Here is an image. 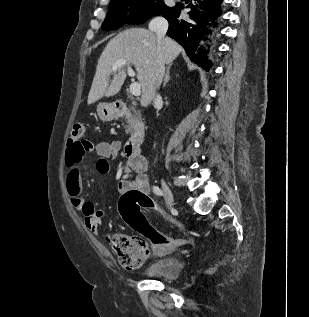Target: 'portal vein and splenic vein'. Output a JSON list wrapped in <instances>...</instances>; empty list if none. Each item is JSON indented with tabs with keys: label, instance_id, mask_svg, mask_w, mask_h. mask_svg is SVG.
<instances>
[{
	"label": "portal vein and splenic vein",
	"instance_id": "obj_1",
	"mask_svg": "<svg viewBox=\"0 0 309 317\" xmlns=\"http://www.w3.org/2000/svg\"><path fill=\"white\" fill-rule=\"evenodd\" d=\"M127 65L128 67V75L131 77L135 76V72L133 69L126 63L125 60L121 59L118 60L114 65H113V71H116L119 67ZM130 92L134 96H139L141 94V85L138 82H132L130 85Z\"/></svg>",
	"mask_w": 309,
	"mask_h": 317
}]
</instances>
